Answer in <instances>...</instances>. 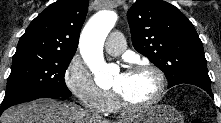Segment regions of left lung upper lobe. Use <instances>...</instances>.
Segmentation results:
<instances>
[{
	"instance_id": "5c2ea615",
	"label": "left lung upper lobe",
	"mask_w": 221,
	"mask_h": 123,
	"mask_svg": "<svg viewBox=\"0 0 221 123\" xmlns=\"http://www.w3.org/2000/svg\"><path fill=\"white\" fill-rule=\"evenodd\" d=\"M127 18L134 48L165 73L168 88L188 81L211 83L202 41L175 6L137 0Z\"/></svg>"
}]
</instances>
